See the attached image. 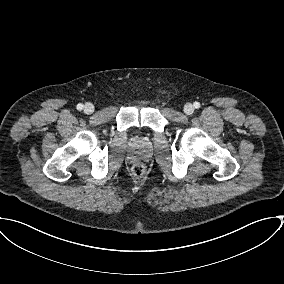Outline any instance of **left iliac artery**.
<instances>
[{"mask_svg":"<svg viewBox=\"0 0 284 284\" xmlns=\"http://www.w3.org/2000/svg\"><path fill=\"white\" fill-rule=\"evenodd\" d=\"M194 107H195L196 109L200 108V103H199V102H194Z\"/></svg>","mask_w":284,"mask_h":284,"instance_id":"left-iliac-artery-1","label":"left iliac artery"}]
</instances>
